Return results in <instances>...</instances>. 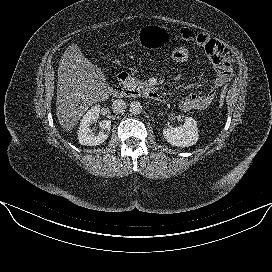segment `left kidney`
Returning a JSON list of instances; mask_svg holds the SVG:
<instances>
[{
    "mask_svg": "<svg viewBox=\"0 0 272 272\" xmlns=\"http://www.w3.org/2000/svg\"><path fill=\"white\" fill-rule=\"evenodd\" d=\"M185 123L179 127L164 128L163 136L165 140L178 147H189L198 141L197 123L192 117H185Z\"/></svg>",
    "mask_w": 272,
    "mask_h": 272,
    "instance_id": "1",
    "label": "left kidney"
}]
</instances>
